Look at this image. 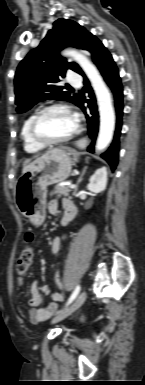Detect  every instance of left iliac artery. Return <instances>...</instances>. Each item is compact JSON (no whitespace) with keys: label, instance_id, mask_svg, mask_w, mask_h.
Returning <instances> with one entry per match:
<instances>
[{"label":"left iliac artery","instance_id":"44dca946","mask_svg":"<svg viewBox=\"0 0 145 385\" xmlns=\"http://www.w3.org/2000/svg\"><path fill=\"white\" fill-rule=\"evenodd\" d=\"M81 290V287L80 285H77L76 288L74 289L73 293L71 294L70 298L68 299L67 303H66V306L71 304L73 302V300L77 297V295L79 294Z\"/></svg>","mask_w":145,"mask_h":385}]
</instances>
